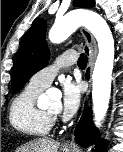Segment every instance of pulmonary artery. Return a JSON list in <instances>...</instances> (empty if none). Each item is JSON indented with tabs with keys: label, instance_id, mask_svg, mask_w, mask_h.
<instances>
[{
	"label": "pulmonary artery",
	"instance_id": "pulmonary-artery-1",
	"mask_svg": "<svg viewBox=\"0 0 123 152\" xmlns=\"http://www.w3.org/2000/svg\"><path fill=\"white\" fill-rule=\"evenodd\" d=\"M77 60L78 55L76 52H63L57 57L56 61L52 65L47 66L35 73L31 77L29 85L40 89L47 88L52 83L60 68L70 66L76 63Z\"/></svg>",
	"mask_w": 123,
	"mask_h": 152
}]
</instances>
